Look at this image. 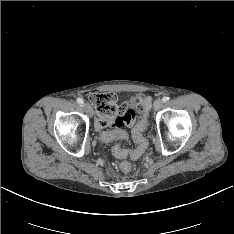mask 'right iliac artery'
Masks as SVG:
<instances>
[{"label":"right iliac artery","instance_id":"82829eb1","mask_svg":"<svg viewBox=\"0 0 234 234\" xmlns=\"http://www.w3.org/2000/svg\"><path fill=\"white\" fill-rule=\"evenodd\" d=\"M77 102L80 104V105H83L84 104V101L82 98H77Z\"/></svg>","mask_w":234,"mask_h":234}]
</instances>
